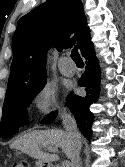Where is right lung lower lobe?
<instances>
[{
	"label": "right lung lower lobe",
	"mask_w": 125,
	"mask_h": 167,
	"mask_svg": "<svg viewBox=\"0 0 125 167\" xmlns=\"http://www.w3.org/2000/svg\"><path fill=\"white\" fill-rule=\"evenodd\" d=\"M82 56L86 59V68L78 84L85 87L87 95L80 97L74 94L69 95L67 104L74 114L77 125L86 139L92 134L91 126L93 122V114L89 110L92 103L97 100L99 93L100 71L98 61L95 57L93 44L90 39L84 44L81 50ZM57 117V112L50 113L41 121L43 124L50 123Z\"/></svg>",
	"instance_id": "right-lung-lower-lobe-1"
}]
</instances>
